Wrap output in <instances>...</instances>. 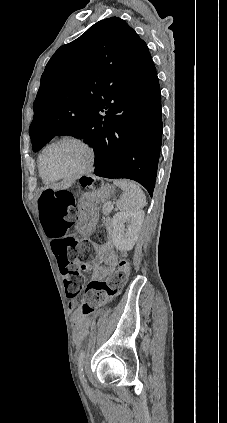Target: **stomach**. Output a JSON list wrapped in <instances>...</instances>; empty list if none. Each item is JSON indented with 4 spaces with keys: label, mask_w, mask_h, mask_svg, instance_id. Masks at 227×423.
I'll list each match as a JSON object with an SVG mask.
<instances>
[{
    "label": "stomach",
    "mask_w": 227,
    "mask_h": 423,
    "mask_svg": "<svg viewBox=\"0 0 227 423\" xmlns=\"http://www.w3.org/2000/svg\"><path fill=\"white\" fill-rule=\"evenodd\" d=\"M114 194V188L112 186H109V184H106V186H103V188H97V190H94V192H88V194H85L84 198L85 200H92V202H109L111 200L112 196Z\"/></svg>",
    "instance_id": "obj_1"
}]
</instances>
